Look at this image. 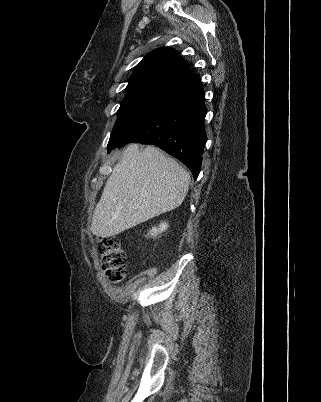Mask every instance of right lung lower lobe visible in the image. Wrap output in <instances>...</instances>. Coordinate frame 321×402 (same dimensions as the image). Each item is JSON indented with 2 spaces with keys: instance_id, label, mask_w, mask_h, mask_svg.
I'll use <instances>...</instances> for the list:
<instances>
[{
  "instance_id": "right-lung-lower-lobe-1",
  "label": "right lung lower lobe",
  "mask_w": 321,
  "mask_h": 402,
  "mask_svg": "<svg viewBox=\"0 0 321 402\" xmlns=\"http://www.w3.org/2000/svg\"><path fill=\"white\" fill-rule=\"evenodd\" d=\"M204 96L197 75L183 80L159 104L110 140L108 151L130 142L153 144L183 162L196 180L207 141Z\"/></svg>"
}]
</instances>
